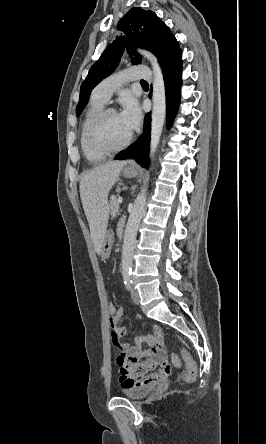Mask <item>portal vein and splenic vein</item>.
<instances>
[{"mask_svg":"<svg viewBox=\"0 0 266 444\" xmlns=\"http://www.w3.org/2000/svg\"><path fill=\"white\" fill-rule=\"evenodd\" d=\"M118 202L121 204L122 203V197H119Z\"/></svg>","mask_w":266,"mask_h":444,"instance_id":"1","label":"portal vein and splenic vein"}]
</instances>
